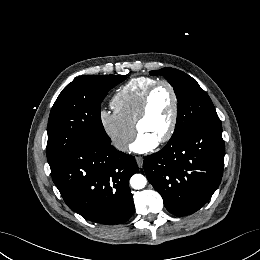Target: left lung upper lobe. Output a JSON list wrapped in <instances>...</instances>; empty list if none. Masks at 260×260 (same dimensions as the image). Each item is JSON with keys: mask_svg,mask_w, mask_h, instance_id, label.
<instances>
[{"mask_svg": "<svg viewBox=\"0 0 260 260\" xmlns=\"http://www.w3.org/2000/svg\"><path fill=\"white\" fill-rule=\"evenodd\" d=\"M150 74L164 76L174 88L177 97L178 115L170 141L181 137L197 125L220 121L208 94L192 77L173 68L151 71Z\"/></svg>", "mask_w": 260, "mask_h": 260, "instance_id": "obj_1", "label": "left lung upper lobe"}]
</instances>
